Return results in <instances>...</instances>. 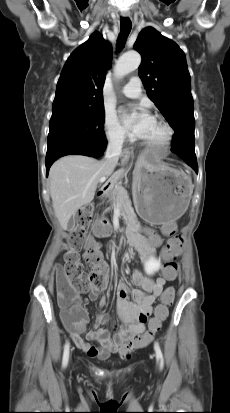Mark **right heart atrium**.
Returning <instances> with one entry per match:
<instances>
[{
    "mask_svg": "<svg viewBox=\"0 0 230 413\" xmlns=\"http://www.w3.org/2000/svg\"><path fill=\"white\" fill-rule=\"evenodd\" d=\"M103 132L106 140L114 146L121 147L125 145L129 139L126 131L112 114H105Z\"/></svg>",
    "mask_w": 230,
    "mask_h": 413,
    "instance_id": "right-heart-atrium-1",
    "label": "right heart atrium"
}]
</instances>
